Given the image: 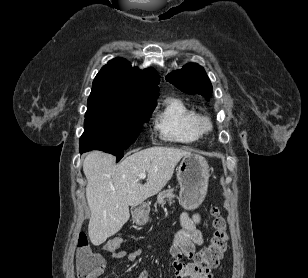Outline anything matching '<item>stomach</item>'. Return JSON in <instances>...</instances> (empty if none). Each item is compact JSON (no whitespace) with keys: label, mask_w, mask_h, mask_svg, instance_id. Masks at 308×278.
I'll use <instances>...</instances> for the list:
<instances>
[{"label":"stomach","mask_w":308,"mask_h":278,"mask_svg":"<svg viewBox=\"0 0 308 278\" xmlns=\"http://www.w3.org/2000/svg\"><path fill=\"white\" fill-rule=\"evenodd\" d=\"M180 185L179 202L187 210H194L203 202L208 188L210 169L207 160L197 154L183 157L176 169ZM149 219L148 210L138 211L135 221L144 224Z\"/></svg>","instance_id":"0dacf381"}]
</instances>
